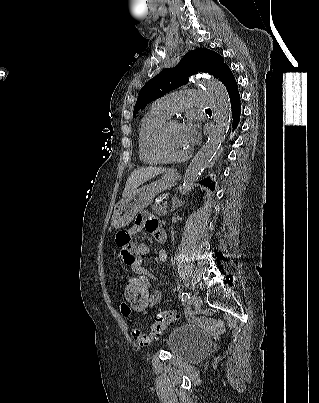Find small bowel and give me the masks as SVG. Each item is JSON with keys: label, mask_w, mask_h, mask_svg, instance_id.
I'll return each mask as SVG.
<instances>
[{"label": "small bowel", "mask_w": 319, "mask_h": 403, "mask_svg": "<svg viewBox=\"0 0 319 403\" xmlns=\"http://www.w3.org/2000/svg\"><path fill=\"white\" fill-rule=\"evenodd\" d=\"M141 230H146L159 243H163L166 240V234L160 227L158 219L150 213H140L137 215L133 232H138ZM115 249L121 250L122 263H127L132 267V269L137 268L139 270L137 275H152L146 268L142 266L143 258L149 254L150 248L148 245L140 244L138 240H135V234L130 233V227H121V230L115 231ZM167 258L168 255L166 251L162 250L158 253V261L160 263H166ZM152 278L153 280H156L154 275H152ZM152 294L153 297L152 300H150V308L157 305L162 298V293L160 290H154L152 291ZM125 297L127 296L125 295ZM133 310L135 316V309L133 308ZM148 310L149 309H147V311Z\"/></svg>", "instance_id": "small-bowel-1"}]
</instances>
